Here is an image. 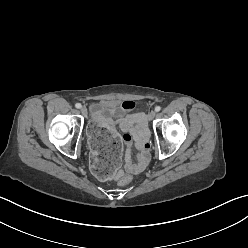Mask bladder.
<instances>
[{
	"mask_svg": "<svg viewBox=\"0 0 248 248\" xmlns=\"http://www.w3.org/2000/svg\"><path fill=\"white\" fill-rule=\"evenodd\" d=\"M108 117V114L106 112L103 111H100V112H96L94 114V119L98 120V119H106Z\"/></svg>",
	"mask_w": 248,
	"mask_h": 248,
	"instance_id": "bladder-1",
	"label": "bladder"
}]
</instances>
